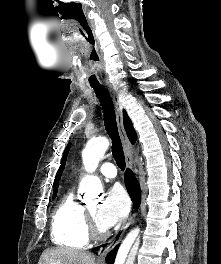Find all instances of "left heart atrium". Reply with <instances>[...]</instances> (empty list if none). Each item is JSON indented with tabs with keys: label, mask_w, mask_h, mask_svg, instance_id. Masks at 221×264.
Segmentation results:
<instances>
[{
	"label": "left heart atrium",
	"mask_w": 221,
	"mask_h": 264,
	"mask_svg": "<svg viewBox=\"0 0 221 264\" xmlns=\"http://www.w3.org/2000/svg\"><path fill=\"white\" fill-rule=\"evenodd\" d=\"M129 208L130 203L125 191L119 186H114L97 209L96 221L103 229L110 228L127 216Z\"/></svg>",
	"instance_id": "39dd6f15"
}]
</instances>
